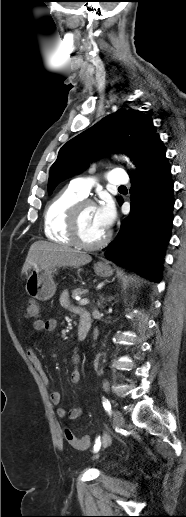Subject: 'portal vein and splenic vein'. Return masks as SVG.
Here are the masks:
<instances>
[{
	"label": "portal vein and splenic vein",
	"mask_w": 186,
	"mask_h": 517,
	"mask_svg": "<svg viewBox=\"0 0 186 517\" xmlns=\"http://www.w3.org/2000/svg\"><path fill=\"white\" fill-rule=\"evenodd\" d=\"M88 303H89V301H88V299H87V298L81 299V300L79 301V304H80V305H86V304H88Z\"/></svg>",
	"instance_id": "1"
}]
</instances>
